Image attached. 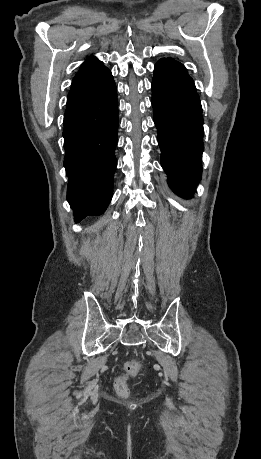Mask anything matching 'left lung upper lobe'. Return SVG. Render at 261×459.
<instances>
[{
	"label": "left lung upper lobe",
	"instance_id": "left-lung-upper-lobe-1",
	"mask_svg": "<svg viewBox=\"0 0 261 459\" xmlns=\"http://www.w3.org/2000/svg\"><path fill=\"white\" fill-rule=\"evenodd\" d=\"M159 61H169V62H177L173 59H170V58H163V59H160ZM179 63V62H178Z\"/></svg>",
	"mask_w": 261,
	"mask_h": 459
}]
</instances>
